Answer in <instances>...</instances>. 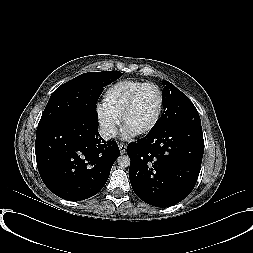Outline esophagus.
I'll list each match as a JSON object with an SVG mask.
<instances>
[{"label": "esophagus", "instance_id": "1", "mask_svg": "<svg viewBox=\"0 0 253 253\" xmlns=\"http://www.w3.org/2000/svg\"><path fill=\"white\" fill-rule=\"evenodd\" d=\"M118 146H119L121 154H125L126 149H127V145L125 143L120 142V143H118Z\"/></svg>", "mask_w": 253, "mask_h": 253}]
</instances>
